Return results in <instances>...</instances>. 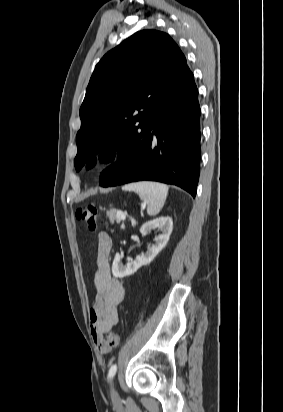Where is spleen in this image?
Segmentation results:
<instances>
[{"instance_id": "3e777b00", "label": "spleen", "mask_w": 283, "mask_h": 412, "mask_svg": "<svg viewBox=\"0 0 283 412\" xmlns=\"http://www.w3.org/2000/svg\"><path fill=\"white\" fill-rule=\"evenodd\" d=\"M122 189L136 192L140 199L148 204V215L156 216L165 204L169 188L162 183L142 181L127 184Z\"/></svg>"}]
</instances>
